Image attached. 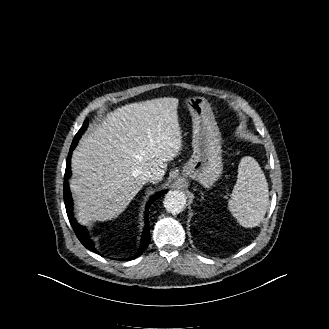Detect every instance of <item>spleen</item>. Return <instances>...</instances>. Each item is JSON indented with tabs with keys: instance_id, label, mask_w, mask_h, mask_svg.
<instances>
[{
	"instance_id": "1",
	"label": "spleen",
	"mask_w": 329,
	"mask_h": 329,
	"mask_svg": "<svg viewBox=\"0 0 329 329\" xmlns=\"http://www.w3.org/2000/svg\"><path fill=\"white\" fill-rule=\"evenodd\" d=\"M268 192V183L258 162L253 157L245 156L238 165L237 181L228 209L241 226L255 227L266 214Z\"/></svg>"
}]
</instances>
